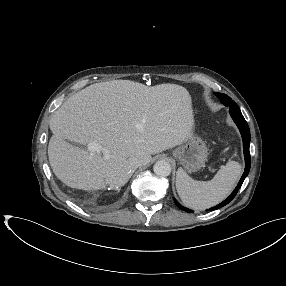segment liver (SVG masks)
<instances>
[{"label":"liver","mask_w":286,"mask_h":286,"mask_svg":"<svg viewBox=\"0 0 286 286\" xmlns=\"http://www.w3.org/2000/svg\"><path fill=\"white\" fill-rule=\"evenodd\" d=\"M53 133L48 157L65 185L102 190L124 186L135 161L146 165L152 154L192 136L194 115L187 89L176 84L147 87L130 80L92 84L67 99L49 122ZM96 143L108 150L91 154L71 145Z\"/></svg>","instance_id":"6515ba94"}]
</instances>
